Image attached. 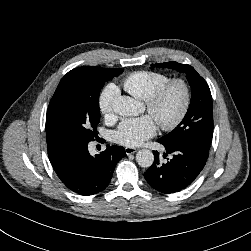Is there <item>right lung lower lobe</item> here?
Masks as SVG:
<instances>
[{
    "label": "right lung lower lobe",
    "mask_w": 251,
    "mask_h": 251,
    "mask_svg": "<svg viewBox=\"0 0 251 251\" xmlns=\"http://www.w3.org/2000/svg\"><path fill=\"white\" fill-rule=\"evenodd\" d=\"M126 156L121 146L107 145L95 156L88 151V142H67L49 156L61 182L71 191L89 196L107 188L116 164Z\"/></svg>",
    "instance_id": "right-lung-lower-lobe-1"
}]
</instances>
